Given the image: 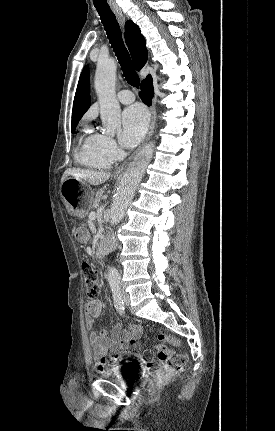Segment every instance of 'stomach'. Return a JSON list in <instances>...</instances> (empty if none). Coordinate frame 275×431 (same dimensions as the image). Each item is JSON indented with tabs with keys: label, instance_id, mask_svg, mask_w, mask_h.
Masks as SVG:
<instances>
[{
	"label": "stomach",
	"instance_id": "stomach-1",
	"mask_svg": "<svg viewBox=\"0 0 275 431\" xmlns=\"http://www.w3.org/2000/svg\"><path fill=\"white\" fill-rule=\"evenodd\" d=\"M60 194L67 212L81 218L88 213L94 192L83 180L68 177L61 184Z\"/></svg>",
	"mask_w": 275,
	"mask_h": 431
}]
</instances>
